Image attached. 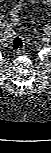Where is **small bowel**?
<instances>
[{
	"label": "small bowel",
	"instance_id": "obj_1",
	"mask_svg": "<svg viewBox=\"0 0 51 153\" xmlns=\"http://www.w3.org/2000/svg\"><path fill=\"white\" fill-rule=\"evenodd\" d=\"M30 1H31V2H43V3H45V4H48V3L51 2V0H30ZM15 2H16V5H17V6L12 10V12L18 11V9L22 6L24 0H15ZM12 12H11V13H12Z\"/></svg>",
	"mask_w": 51,
	"mask_h": 153
}]
</instances>
